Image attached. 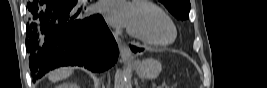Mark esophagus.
<instances>
[{
  "label": "esophagus",
  "mask_w": 267,
  "mask_h": 88,
  "mask_svg": "<svg viewBox=\"0 0 267 88\" xmlns=\"http://www.w3.org/2000/svg\"><path fill=\"white\" fill-rule=\"evenodd\" d=\"M114 35H115L116 42H117L118 47H119L120 56H121L122 61L124 63L132 62L133 56H132V53H131L129 46L125 42H123L116 34H114Z\"/></svg>",
  "instance_id": "obj_1"
}]
</instances>
